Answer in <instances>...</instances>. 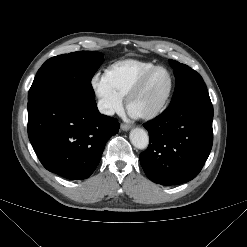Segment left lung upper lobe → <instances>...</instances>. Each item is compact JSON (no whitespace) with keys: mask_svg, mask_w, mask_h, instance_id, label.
Returning <instances> with one entry per match:
<instances>
[{"mask_svg":"<svg viewBox=\"0 0 247 247\" xmlns=\"http://www.w3.org/2000/svg\"><path fill=\"white\" fill-rule=\"evenodd\" d=\"M174 69L176 87L170 105L197 98L209 96L206 85L195 70L185 64L169 60Z\"/></svg>","mask_w":247,"mask_h":247,"instance_id":"left-lung-upper-lobe-1","label":"left lung upper lobe"}]
</instances>
